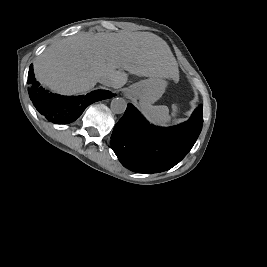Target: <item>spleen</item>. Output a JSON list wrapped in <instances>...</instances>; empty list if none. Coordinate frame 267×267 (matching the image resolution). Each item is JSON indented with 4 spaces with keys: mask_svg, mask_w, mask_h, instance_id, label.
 <instances>
[{
    "mask_svg": "<svg viewBox=\"0 0 267 267\" xmlns=\"http://www.w3.org/2000/svg\"><path fill=\"white\" fill-rule=\"evenodd\" d=\"M140 111L152 124L167 127L171 122V118L177 115L178 108L176 104H173L170 115L169 109L165 105L153 106L149 103L140 102Z\"/></svg>",
    "mask_w": 267,
    "mask_h": 267,
    "instance_id": "spleen-1",
    "label": "spleen"
}]
</instances>
